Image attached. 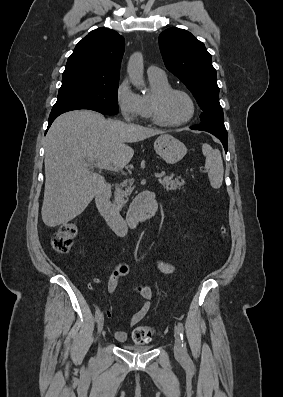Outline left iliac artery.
<instances>
[{"label":"left iliac artery","mask_w":283,"mask_h":397,"mask_svg":"<svg viewBox=\"0 0 283 397\" xmlns=\"http://www.w3.org/2000/svg\"><path fill=\"white\" fill-rule=\"evenodd\" d=\"M177 330H178V332H179V334H180V337H181V340H182V350H183V354H184V356H185V359H186V360H189V356H188V354H187L186 343H185V340H184V327H183V325H182L181 323H178V324H177Z\"/></svg>","instance_id":"obj_1"}]
</instances>
